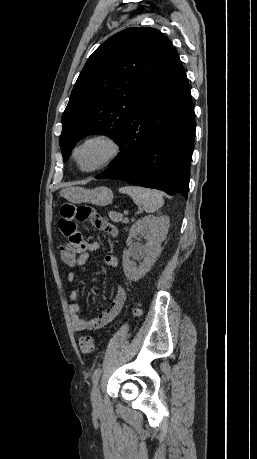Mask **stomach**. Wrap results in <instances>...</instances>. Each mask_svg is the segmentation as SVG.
<instances>
[{"label":"stomach","mask_w":257,"mask_h":459,"mask_svg":"<svg viewBox=\"0 0 257 459\" xmlns=\"http://www.w3.org/2000/svg\"><path fill=\"white\" fill-rule=\"evenodd\" d=\"M61 195L68 200H74L75 203L89 202L98 206H106L113 200V192L104 186L94 189L69 187L64 189Z\"/></svg>","instance_id":"0dacf381"}]
</instances>
